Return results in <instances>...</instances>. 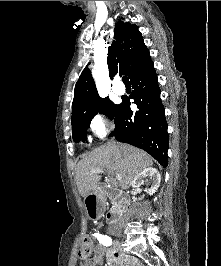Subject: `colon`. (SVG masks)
<instances>
[{
  "label": "colon",
  "instance_id": "5ec220e1",
  "mask_svg": "<svg viewBox=\"0 0 221 266\" xmlns=\"http://www.w3.org/2000/svg\"><path fill=\"white\" fill-rule=\"evenodd\" d=\"M78 255L83 261H93L96 258L97 251L90 236L86 235L83 237Z\"/></svg>",
  "mask_w": 221,
  "mask_h": 266
}]
</instances>
